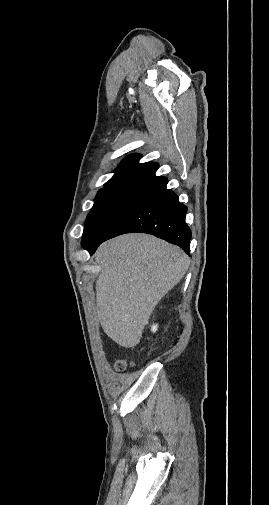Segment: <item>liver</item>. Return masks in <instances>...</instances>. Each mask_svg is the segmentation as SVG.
<instances>
[{
	"mask_svg": "<svg viewBox=\"0 0 269 505\" xmlns=\"http://www.w3.org/2000/svg\"><path fill=\"white\" fill-rule=\"evenodd\" d=\"M97 315L104 332L122 347L136 346L158 302L180 282L189 257L147 234H125L95 254Z\"/></svg>",
	"mask_w": 269,
	"mask_h": 505,
	"instance_id": "obj_1",
	"label": "liver"
}]
</instances>
